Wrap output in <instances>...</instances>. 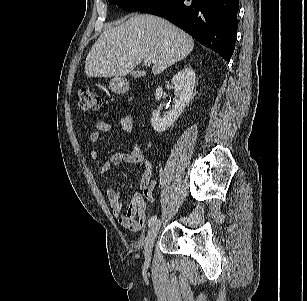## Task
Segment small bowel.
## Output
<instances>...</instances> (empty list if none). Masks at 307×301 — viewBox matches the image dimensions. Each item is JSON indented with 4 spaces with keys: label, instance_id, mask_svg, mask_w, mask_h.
Wrapping results in <instances>:
<instances>
[{
    "label": "small bowel",
    "instance_id": "1",
    "mask_svg": "<svg viewBox=\"0 0 307 301\" xmlns=\"http://www.w3.org/2000/svg\"><path fill=\"white\" fill-rule=\"evenodd\" d=\"M119 124L124 132H132L134 130V119L130 114H124L119 119ZM111 125L106 121H98L95 130L89 135V141L92 146H96L100 142L101 134L108 133ZM89 160L93 164L96 172L107 174L114 166H119L123 163L127 164H142L144 166L143 173L139 181L141 192H136L132 195L129 202L127 212L123 213V202L120 192L115 187H110L106 191L107 199L114 217H116L124 228L133 233L140 232L147 223V214L145 211V202H155L153 189L155 181L152 178L153 166L151 162L144 156L139 147L134 146L130 150L113 153L107 160L98 161L96 150L91 147L89 149Z\"/></svg>",
    "mask_w": 307,
    "mask_h": 301
}]
</instances>
